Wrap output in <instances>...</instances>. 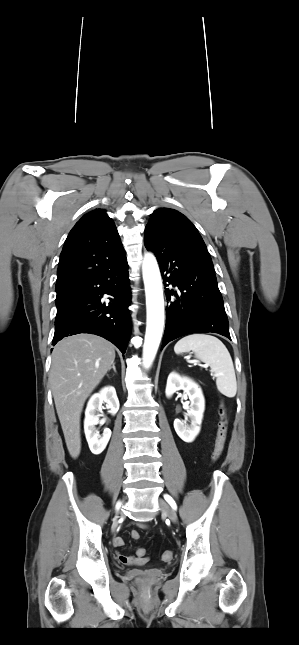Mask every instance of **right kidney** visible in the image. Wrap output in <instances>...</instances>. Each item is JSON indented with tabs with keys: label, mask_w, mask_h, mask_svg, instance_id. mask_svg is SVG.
<instances>
[{
	"label": "right kidney",
	"mask_w": 299,
	"mask_h": 645,
	"mask_svg": "<svg viewBox=\"0 0 299 645\" xmlns=\"http://www.w3.org/2000/svg\"><path fill=\"white\" fill-rule=\"evenodd\" d=\"M104 402L112 415L118 412L120 405L114 387H105L99 393L92 395L86 407L84 432L91 452L96 455L102 453L111 437L110 429H104L102 435L96 429L99 423L96 413L101 410Z\"/></svg>",
	"instance_id": "obj_1"
}]
</instances>
